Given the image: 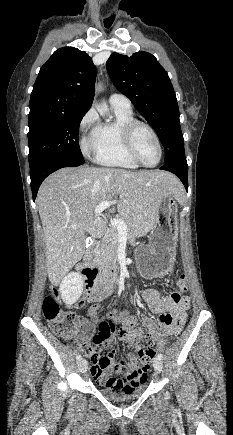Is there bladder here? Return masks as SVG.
Returning a JSON list of instances; mask_svg holds the SVG:
<instances>
[{"mask_svg": "<svg viewBox=\"0 0 233 435\" xmlns=\"http://www.w3.org/2000/svg\"><path fill=\"white\" fill-rule=\"evenodd\" d=\"M142 382L139 386H137L134 390L131 392H120L116 388L112 386H100L99 390L100 392L106 396L107 398L114 400V401H126L130 399H134L141 395L146 387Z\"/></svg>", "mask_w": 233, "mask_h": 435, "instance_id": "obj_1", "label": "bladder"}]
</instances>
